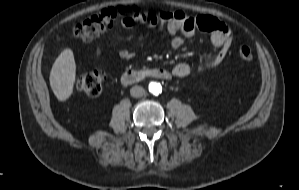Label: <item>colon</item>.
Instances as JSON below:
<instances>
[{
    "mask_svg": "<svg viewBox=\"0 0 299 190\" xmlns=\"http://www.w3.org/2000/svg\"><path fill=\"white\" fill-rule=\"evenodd\" d=\"M118 16L119 11L114 8L103 9L77 24L74 27V35L82 40L92 39L112 26ZM205 22L206 20L203 16L199 17L198 23L201 27L205 25ZM241 56L247 61L252 59L250 51H242ZM104 79L105 75L100 71L85 73L76 79L75 86L89 96H98Z\"/></svg>",
    "mask_w": 299,
    "mask_h": 190,
    "instance_id": "1",
    "label": "colon"
}]
</instances>
